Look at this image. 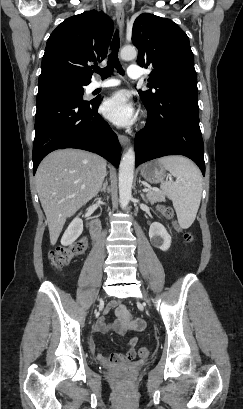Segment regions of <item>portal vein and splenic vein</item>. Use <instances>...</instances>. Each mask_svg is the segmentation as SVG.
<instances>
[{"mask_svg": "<svg viewBox=\"0 0 243 409\" xmlns=\"http://www.w3.org/2000/svg\"><path fill=\"white\" fill-rule=\"evenodd\" d=\"M143 191H144V192H149V191H151V190H150V189L145 188V189H143Z\"/></svg>", "mask_w": 243, "mask_h": 409, "instance_id": "obj_1", "label": "portal vein and splenic vein"}]
</instances>
